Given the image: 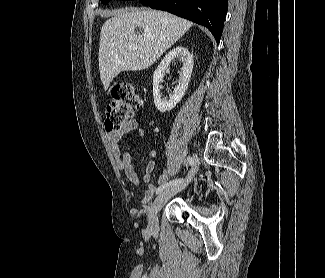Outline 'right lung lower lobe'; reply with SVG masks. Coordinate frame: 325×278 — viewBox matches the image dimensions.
Here are the masks:
<instances>
[{
  "instance_id": "1",
  "label": "right lung lower lobe",
  "mask_w": 325,
  "mask_h": 278,
  "mask_svg": "<svg viewBox=\"0 0 325 278\" xmlns=\"http://www.w3.org/2000/svg\"><path fill=\"white\" fill-rule=\"evenodd\" d=\"M151 8L168 11L207 27L220 42L228 0H140Z\"/></svg>"
}]
</instances>
